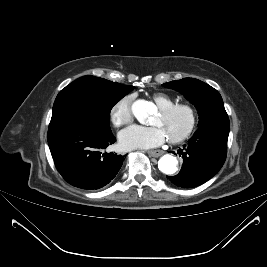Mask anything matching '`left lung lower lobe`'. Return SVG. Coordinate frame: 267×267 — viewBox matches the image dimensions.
<instances>
[{
	"label": "left lung lower lobe",
	"mask_w": 267,
	"mask_h": 267,
	"mask_svg": "<svg viewBox=\"0 0 267 267\" xmlns=\"http://www.w3.org/2000/svg\"><path fill=\"white\" fill-rule=\"evenodd\" d=\"M229 128V123L199 127L188 145L178 150L184 162L179 174L167 178L182 188L196 187L211 179L225 162Z\"/></svg>",
	"instance_id": "obj_1"
}]
</instances>
